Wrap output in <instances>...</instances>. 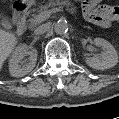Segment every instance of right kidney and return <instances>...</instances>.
Here are the masks:
<instances>
[{
    "label": "right kidney",
    "instance_id": "right-kidney-1",
    "mask_svg": "<svg viewBox=\"0 0 119 119\" xmlns=\"http://www.w3.org/2000/svg\"><path fill=\"white\" fill-rule=\"evenodd\" d=\"M29 55V63L24 64L21 62L24 56ZM37 50L28 47L26 44L19 45L13 52L9 60V71L13 77H23L30 73L36 65Z\"/></svg>",
    "mask_w": 119,
    "mask_h": 119
}]
</instances>
